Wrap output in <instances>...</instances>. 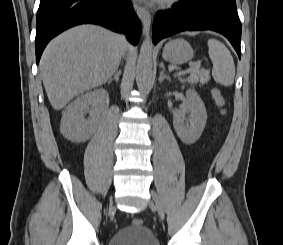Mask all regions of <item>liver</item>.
<instances>
[{
  "label": "liver",
  "instance_id": "obj_1",
  "mask_svg": "<svg viewBox=\"0 0 283 245\" xmlns=\"http://www.w3.org/2000/svg\"><path fill=\"white\" fill-rule=\"evenodd\" d=\"M128 49L122 37L96 25H80L53 39L40 61L52 107L61 110L77 95L106 83Z\"/></svg>",
  "mask_w": 283,
  "mask_h": 245
}]
</instances>
